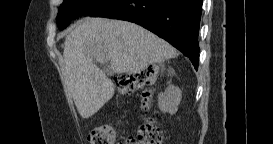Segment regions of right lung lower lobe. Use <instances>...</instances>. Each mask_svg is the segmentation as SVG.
<instances>
[{
	"instance_id": "1",
	"label": "right lung lower lobe",
	"mask_w": 273,
	"mask_h": 144,
	"mask_svg": "<svg viewBox=\"0 0 273 144\" xmlns=\"http://www.w3.org/2000/svg\"><path fill=\"white\" fill-rule=\"evenodd\" d=\"M202 0H109L90 14L143 26L171 43L198 68Z\"/></svg>"
}]
</instances>
